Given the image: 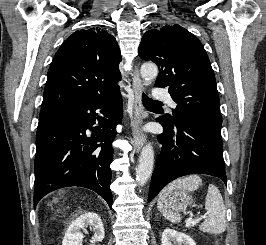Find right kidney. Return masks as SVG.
Here are the masks:
<instances>
[{
  "mask_svg": "<svg viewBox=\"0 0 266 245\" xmlns=\"http://www.w3.org/2000/svg\"><path fill=\"white\" fill-rule=\"evenodd\" d=\"M87 227L93 229L95 241H103L104 227L99 215H96V213H83L75 221H72L68 227V245H82L83 233H87Z\"/></svg>",
  "mask_w": 266,
  "mask_h": 245,
  "instance_id": "1",
  "label": "right kidney"
}]
</instances>
